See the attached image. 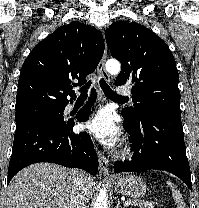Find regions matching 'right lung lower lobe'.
Segmentation results:
<instances>
[{
  "instance_id": "right-lung-lower-lobe-1",
  "label": "right lung lower lobe",
  "mask_w": 199,
  "mask_h": 208,
  "mask_svg": "<svg viewBox=\"0 0 199 208\" xmlns=\"http://www.w3.org/2000/svg\"><path fill=\"white\" fill-rule=\"evenodd\" d=\"M95 99L96 92L93 90L89 102L77 115L79 121L88 119ZM74 124V121L56 122L47 119L18 122L8 168V183L22 168L37 162L81 168L96 175L98 161L91 138L85 132L74 133Z\"/></svg>"
}]
</instances>
